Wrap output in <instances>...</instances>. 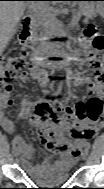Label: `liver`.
Masks as SVG:
<instances>
[{
	"instance_id": "obj_1",
	"label": "liver",
	"mask_w": 104,
	"mask_h": 189,
	"mask_svg": "<svg viewBox=\"0 0 104 189\" xmlns=\"http://www.w3.org/2000/svg\"><path fill=\"white\" fill-rule=\"evenodd\" d=\"M27 3L24 1H1L0 4V49L4 50L14 36L16 26L23 16Z\"/></svg>"
}]
</instances>
